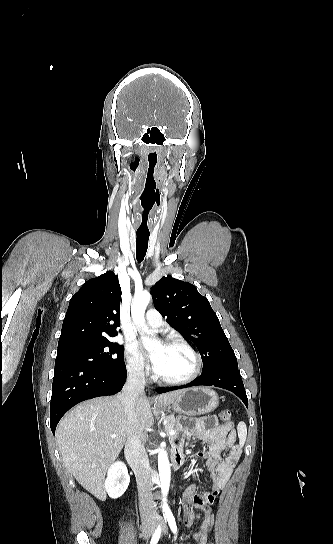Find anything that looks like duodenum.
Here are the masks:
<instances>
[{
  "mask_svg": "<svg viewBox=\"0 0 333 544\" xmlns=\"http://www.w3.org/2000/svg\"><path fill=\"white\" fill-rule=\"evenodd\" d=\"M125 457L128 464L132 467L137 477H141L143 471H142V467L137 461L135 449L133 447H127L125 450ZM182 462H183L182 454L174 451L171 456L172 467L174 469H178L182 465Z\"/></svg>",
  "mask_w": 333,
  "mask_h": 544,
  "instance_id": "duodenum-1",
  "label": "duodenum"
}]
</instances>
